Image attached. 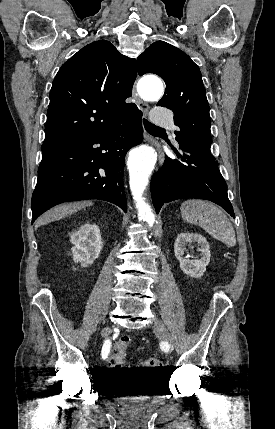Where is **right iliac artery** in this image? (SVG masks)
<instances>
[{
	"instance_id": "obj_1",
	"label": "right iliac artery",
	"mask_w": 275,
	"mask_h": 429,
	"mask_svg": "<svg viewBox=\"0 0 275 429\" xmlns=\"http://www.w3.org/2000/svg\"><path fill=\"white\" fill-rule=\"evenodd\" d=\"M110 346H111L110 340H106L104 342V345H103V348H102V352H101V355H102L103 359L107 358V356L109 354V351H110Z\"/></svg>"
}]
</instances>
